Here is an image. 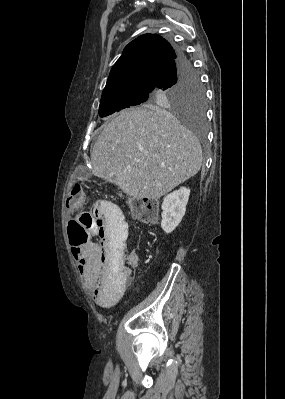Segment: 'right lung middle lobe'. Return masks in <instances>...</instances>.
I'll use <instances>...</instances> for the list:
<instances>
[{"mask_svg":"<svg viewBox=\"0 0 285 399\" xmlns=\"http://www.w3.org/2000/svg\"><path fill=\"white\" fill-rule=\"evenodd\" d=\"M136 105L171 111L195 126H201L205 118L204 89L193 68L188 69L178 81L163 88L137 89L103 96L99 115L105 117Z\"/></svg>","mask_w":285,"mask_h":399,"instance_id":"1","label":"right lung middle lobe"}]
</instances>
